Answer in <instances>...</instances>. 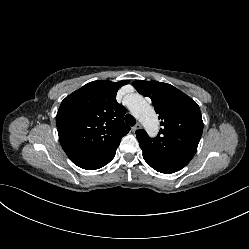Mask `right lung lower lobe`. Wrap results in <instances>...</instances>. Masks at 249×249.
I'll list each match as a JSON object with an SVG mask.
<instances>
[{"label": "right lung lower lobe", "instance_id": "98d812e1", "mask_svg": "<svg viewBox=\"0 0 249 249\" xmlns=\"http://www.w3.org/2000/svg\"><path fill=\"white\" fill-rule=\"evenodd\" d=\"M117 147L99 155L76 157L72 158L71 160L74 164L83 169L87 170L99 169L108 164L114 158Z\"/></svg>", "mask_w": 249, "mask_h": 249}]
</instances>
